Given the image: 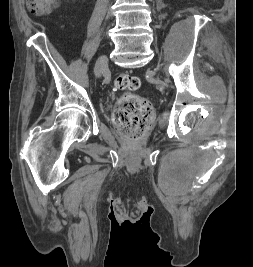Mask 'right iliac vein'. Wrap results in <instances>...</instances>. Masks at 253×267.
I'll list each match as a JSON object with an SVG mask.
<instances>
[{
  "instance_id": "1",
  "label": "right iliac vein",
  "mask_w": 253,
  "mask_h": 267,
  "mask_svg": "<svg viewBox=\"0 0 253 267\" xmlns=\"http://www.w3.org/2000/svg\"><path fill=\"white\" fill-rule=\"evenodd\" d=\"M107 63V57L105 55L100 56L95 66V73L98 74L101 72L106 67Z\"/></svg>"
}]
</instances>
